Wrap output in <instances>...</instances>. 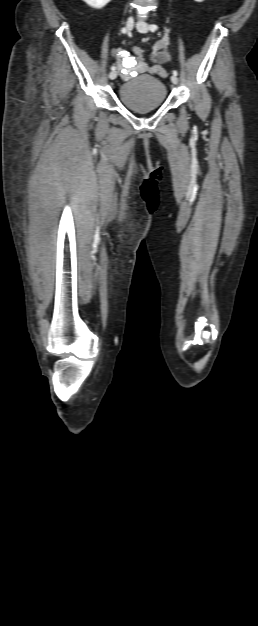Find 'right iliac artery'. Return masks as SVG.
I'll list each match as a JSON object with an SVG mask.
<instances>
[{"label": "right iliac artery", "mask_w": 258, "mask_h": 626, "mask_svg": "<svg viewBox=\"0 0 258 626\" xmlns=\"http://www.w3.org/2000/svg\"><path fill=\"white\" fill-rule=\"evenodd\" d=\"M121 32L124 34L127 33V28H122ZM111 70H115V66H111Z\"/></svg>", "instance_id": "1"}]
</instances>
